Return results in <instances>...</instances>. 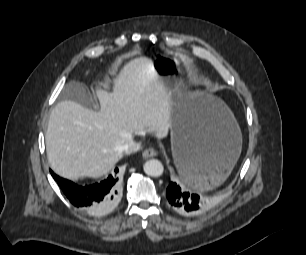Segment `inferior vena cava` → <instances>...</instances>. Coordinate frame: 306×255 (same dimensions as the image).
<instances>
[{
	"mask_svg": "<svg viewBox=\"0 0 306 255\" xmlns=\"http://www.w3.org/2000/svg\"><path fill=\"white\" fill-rule=\"evenodd\" d=\"M141 149V143L135 142L132 138H130L125 144L120 147L122 152L126 154H131L137 152Z\"/></svg>",
	"mask_w": 306,
	"mask_h": 255,
	"instance_id": "obj_1",
	"label": "inferior vena cava"
}]
</instances>
